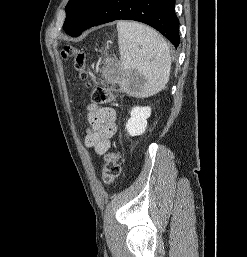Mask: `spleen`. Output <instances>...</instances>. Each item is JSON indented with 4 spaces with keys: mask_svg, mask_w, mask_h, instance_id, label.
<instances>
[{
    "mask_svg": "<svg viewBox=\"0 0 247 257\" xmlns=\"http://www.w3.org/2000/svg\"><path fill=\"white\" fill-rule=\"evenodd\" d=\"M120 52V86L140 76L144 79L140 95L151 96L165 88L170 75V49L154 29L129 21L117 23Z\"/></svg>",
    "mask_w": 247,
    "mask_h": 257,
    "instance_id": "obj_1",
    "label": "spleen"
}]
</instances>
